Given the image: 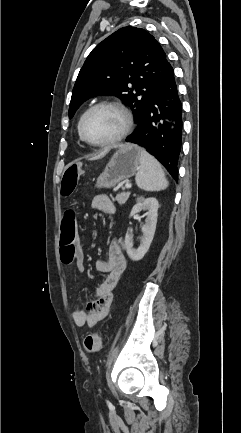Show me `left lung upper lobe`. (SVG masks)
Returning <instances> with one entry per match:
<instances>
[{
  "label": "left lung upper lobe",
  "mask_w": 241,
  "mask_h": 433,
  "mask_svg": "<svg viewBox=\"0 0 241 433\" xmlns=\"http://www.w3.org/2000/svg\"><path fill=\"white\" fill-rule=\"evenodd\" d=\"M170 66L164 50L147 31L117 30L87 57L72 91L69 117L91 97L116 95L131 108L138 123Z\"/></svg>",
  "instance_id": "5c2ea615"
}]
</instances>
